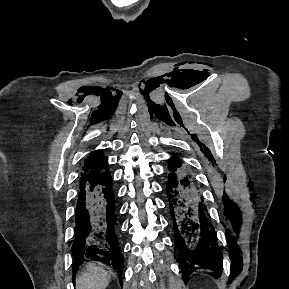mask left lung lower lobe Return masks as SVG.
Wrapping results in <instances>:
<instances>
[{
  "instance_id": "obj_1",
  "label": "left lung lower lobe",
  "mask_w": 289,
  "mask_h": 289,
  "mask_svg": "<svg viewBox=\"0 0 289 289\" xmlns=\"http://www.w3.org/2000/svg\"><path fill=\"white\" fill-rule=\"evenodd\" d=\"M166 193L183 279L189 277L194 264L220 273L221 251L207 207L195 179L176 156L168 160Z\"/></svg>"
}]
</instances>
